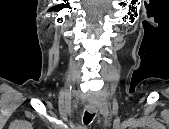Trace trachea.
Masks as SVG:
<instances>
[{
	"label": "trachea",
	"instance_id": "obj_1",
	"mask_svg": "<svg viewBox=\"0 0 169 129\" xmlns=\"http://www.w3.org/2000/svg\"><path fill=\"white\" fill-rule=\"evenodd\" d=\"M94 115H95L94 113H90L88 111H85L84 117H83L84 124L88 125L92 121Z\"/></svg>",
	"mask_w": 169,
	"mask_h": 129
}]
</instances>
